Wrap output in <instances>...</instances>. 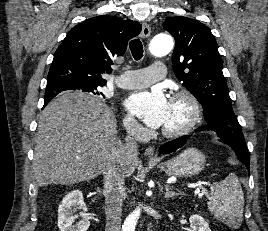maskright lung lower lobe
Listing matches in <instances>:
<instances>
[{"instance_id": "1", "label": "right lung lower lobe", "mask_w": 268, "mask_h": 231, "mask_svg": "<svg viewBox=\"0 0 268 231\" xmlns=\"http://www.w3.org/2000/svg\"><path fill=\"white\" fill-rule=\"evenodd\" d=\"M48 103H44V107L47 105Z\"/></svg>"}]
</instances>
